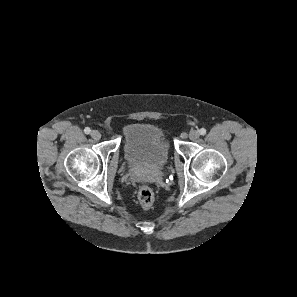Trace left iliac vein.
<instances>
[{
  "label": "left iliac vein",
  "instance_id": "1",
  "mask_svg": "<svg viewBox=\"0 0 297 297\" xmlns=\"http://www.w3.org/2000/svg\"><path fill=\"white\" fill-rule=\"evenodd\" d=\"M189 138L193 141L197 140L199 138V132L196 130H191L189 133Z\"/></svg>",
  "mask_w": 297,
  "mask_h": 297
}]
</instances>
